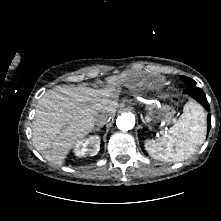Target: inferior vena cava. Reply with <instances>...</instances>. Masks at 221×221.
Returning a JSON list of instances; mask_svg holds the SVG:
<instances>
[{"mask_svg": "<svg viewBox=\"0 0 221 221\" xmlns=\"http://www.w3.org/2000/svg\"><path fill=\"white\" fill-rule=\"evenodd\" d=\"M110 116L108 114H100L97 116V118L95 119V124L97 126H103L105 125L107 122H109L110 120Z\"/></svg>", "mask_w": 221, "mask_h": 221, "instance_id": "1", "label": "inferior vena cava"}]
</instances>
